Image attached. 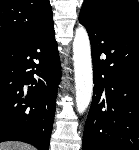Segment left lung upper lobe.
Masks as SVG:
<instances>
[{
	"instance_id": "left-lung-upper-lobe-1",
	"label": "left lung upper lobe",
	"mask_w": 139,
	"mask_h": 150,
	"mask_svg": "<svg viewBox=\"0 0 139 150\" xmlns=\"http://www.w3.org/2000/svg\"><path fill=\"white\" fill-rule=\"evenodd\" d=\"M81 12L101 21H114L130 12H139V7L137 0H85Z\"/></svg>"
}]
</instances>
